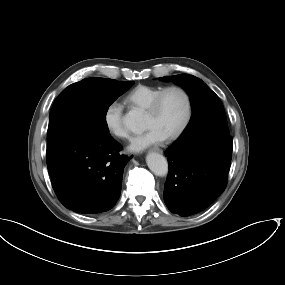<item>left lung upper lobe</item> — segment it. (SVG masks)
I'll return each instance as SVG.
<instances>
[{"instance_id": "5c2ea615", "label": "left lung upper lobe", "mask_w": 285, "mask_h": 285, "mask_svg": "<svg viewBox=\"0 0 285 285\" xmlns=\"http://www.w3.org/2000/svg\"><path fill=\"white\" fill-rule=\"evenodd\" d=\"M160 80L181 85L189 94L192 103L190 123L175 143L204 134H230L222 102L202 80L189 74L165 76Z\"/></svg>"}]
</instances>
